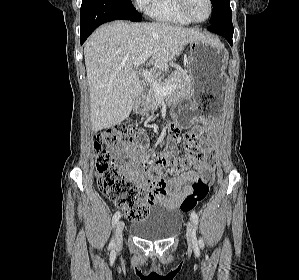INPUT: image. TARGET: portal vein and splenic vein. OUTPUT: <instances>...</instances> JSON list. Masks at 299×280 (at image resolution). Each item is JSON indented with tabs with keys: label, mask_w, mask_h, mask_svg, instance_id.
Here are the masks:
<instances>
[{
	"label": "portal vein and splenic vein",
	"mask_w": 299,
	"mask_h": 280,
	"mask_svg": "<svg viewBox=\"0 0 299 280\" xmlns=\"http://www.w3.org/2000/svg\"><path fill=\"white\" fill-rule=\"evenodd\" d=\"M152 52L148 51L141 55L135 62L134 67H138L139 65L143 64L150 56ZM142 75L144 76L145 80L151 85V87L155 90V92L160 95L164 96L166 94H169L176 88V83H172L170 85H167L165 87L161 86L157 80L151 75L150 73L143 72Z\"/></svg>",
	"instance_id": "1"
}]
</instances>
